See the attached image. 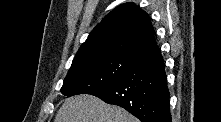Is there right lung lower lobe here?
I'll return each instance as SVG.
<instances>
[{"label":"right lung lower lobe","instance_id":"right-lung-lower-lobe-1","mask_svg":"<svg viewBox=\"0 0 221 122\" xmlns=\"http://www.w3.org/2000/svg\"><path fill=\"white\" fill-rule=\"evenodd\" d=\"M90 94L121 106L142 122H171L170 94L158 47L137 59L119 80Z\"/></svg>","mask_w":221,"mask_h":122}]
</instances>
